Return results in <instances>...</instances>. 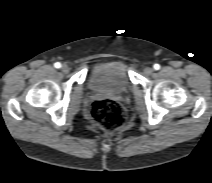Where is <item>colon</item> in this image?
Here are the masks:
<instances>
[{
  "instance_id": "colon-1",
  "label": "colon",
  "mask_w": 212,
  "mask_h": 183,
  "mask_svg": "<svg viewBox=\"0 0 212 183\" xmlns=\"http://www.w3.org/2000/svg\"><path fill=\"white\" fill-rule=\"evenodd\" d=\"M90 117L96 126L109 133L121 129L127 121L121 104L112 99L93 101L90 106Z\"/></svg>"
}]
</instances>
